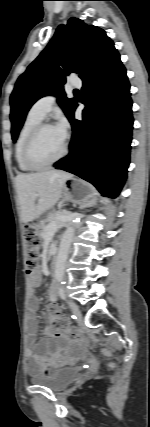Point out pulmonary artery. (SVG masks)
<instances>
[{
	"label": "pulmonary artery",
	"mask_w": 150,
	"mask_h": 427,
	"mask_svg": "<svg viewBox=\"0 0 150 427\" xmlns=\"http://www.w3.org/2000/svg\"><path fill=\"white\" fill-rule=\"evenodd\" d=\"M82 82L79 78H73L69 81V86L73 88L81 87ZM56 101L55 95H46L38 99L32 106L31 111L40 118L46 117V115L52 109Z\"/></svg>",
	"instance_id": "pulmonary-artery-1"
}]
</instances>
